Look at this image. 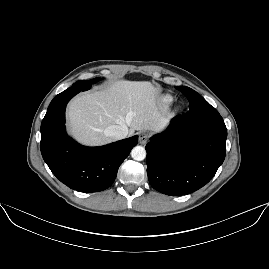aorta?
<instances>
[{"instance_id": "aorta-1", "label": "aorta", "mask_w": 269, "mask_h": 269, "mask_svg": "<svg viewBox=\"0 0 269 269\" xmlns=\"http://www.w3.org/2000/svg\"><path fill=\"white\" fill-rule=\"evenodd\" d=\"M131 156L136 161H142L146 157V151L142 146H136L132 149Z\"/></svg>"}]
</instances>
